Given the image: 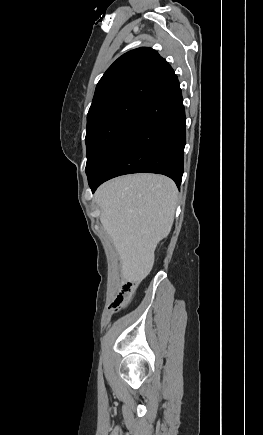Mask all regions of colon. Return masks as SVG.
<instances>
[{
    "instance_id": "colon-1",
    "label": "colon",
    "mask_w": 263,
    "mask_h": 435,
    "mask_svg": "<svg viewBox=\"0 0 263 435\" xmlns=\"http://www.w3.org/2000/svg\"><path fill=\"white\" fill-rule=\"evenodd\" d=\"M137 284L134 281H124L119 295L113 303V308L118 311L127 306L133 298Z\"/></svg>"
}]
</instances>
